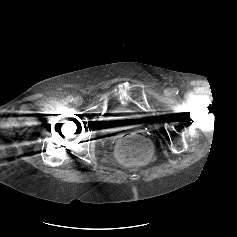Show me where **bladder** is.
I'll use <instances>...</instances> for the list:
<instances>
[{
  "label": "bladder",
  "mask_w": 237,
  "mask_h": 237,
  "mask_svg": "<svg viewBox=\"0 0 237 237\" xmlns=\"http://www.w3.org/2000/svg\"><path fill=\"white\" fill-rule=\"evenodd\" d=\"M141 116L137 113L127 111L124 108H116L107 115L102 123L101 130L104 134H111L123 128L139 125Z\"/></svg>",
  "instance_id": "1"
}]
</instances>
